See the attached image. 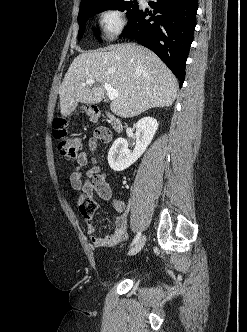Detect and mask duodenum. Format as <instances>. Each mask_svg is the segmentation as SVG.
Wrapping results in <instances>:
<instances>
[{
  "mask_svg": "<svg viewBox=\"0 0 247 332\" xmlns=\"http://www.w3.org/2000/svg\"><path fill=\"white\" fill-rule=\"evenodd\" d=\"M111 127L115 132H121L123 129L122 122L117 117L110 115Z\"/></svg>",
  "mask_w": 247,
  "mask_h": 332,
  "instance_id": "1",
  "label": "duodenum"
}]
</instances>
